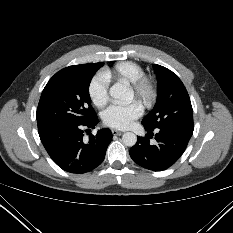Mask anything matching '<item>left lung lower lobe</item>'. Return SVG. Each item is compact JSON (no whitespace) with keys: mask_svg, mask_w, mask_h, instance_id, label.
<instances>
[{"mask_svg":"<svg viewBox=\"0 0 233 233\" xmlns=\"http://www.w3.org/2000/svg\"><path fill=\"white\" fill-rule=\"evenodd\" d=\"M145 129L149 133L153 131ZM192 133L175 128L159 129L155 134V145L150 144V136L138 137L136 144L130 149V156L135 163L148 170H166L183 154Z\"/></svg>","mask_w":233,"mask_h":233,"instance_id":"1","label":"left lung lower lobe"}]
</instances>
